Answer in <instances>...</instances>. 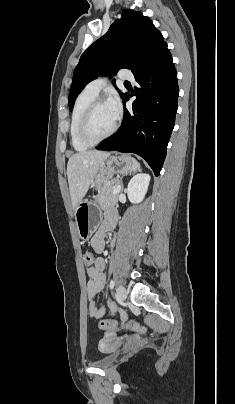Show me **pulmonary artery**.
I'll return each instance as SVG.
<instances>
[{
	"mask_svg": "<svg viewBox=\"0 0 235 404\" xmlns=\"http://www.w3.org/2000/svg\"><path fill=\"white\" fill-rule=\"evenodd\" d=\"M119 78L133 81L134 76L131 70L123 69L119 73ZM106 83L107 79L105 77H100L88 83L84 90L92 95L97 96Z\"/></svg>",
	"mask_w": 235,
	"mask_h": 404,
	"instance_id": "1",
	"label": "pulmonary artery"
}]
</instances>
